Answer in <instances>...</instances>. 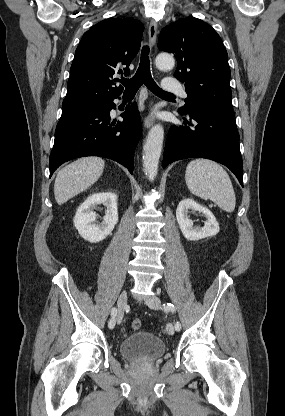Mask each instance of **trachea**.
<instances>
[{
    "label": "trachea",
    "instance_id": "1",
    "mask_svg": "<svg viewBox=\"0 0 285 416\" xmlns=\"http://www.w3.org/2000/svg\"><path fill=\"white\" fill-rule=\"evenodd\" d=\"M150 49L148 46H144L141 51V59L139 68L132 78H121L120 83L125 86V92H137V90L145 85L148 90L159 97L164 96H175L173 93L165 92L162 88H159L157 83L153 80L150 73V60H149Z\"/></svg>",
    "mask_w": 285,
    "mask_h": 416
}]
</instances>
